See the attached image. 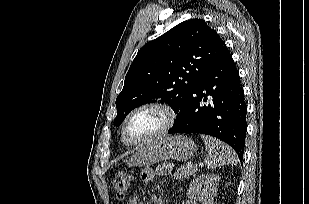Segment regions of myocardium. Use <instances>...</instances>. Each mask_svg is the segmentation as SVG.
<instances>
[{
  "label": "myocardium",
  "instance_id": "1",
  "mask_svg": "<svg viewBox=\"0 0 309 204\" xmlns=\"http://www.w3.org/2000/svg\"><path fill=\"white\" fill-rule=\"evenodd\" d=\"M148 109L158 110L164 115V123H163L162 127L158 131L153 133L151 136H149V137H147L143 140L131 141L126 135V126H127L128 121L135 114L139 113L140 111L148 110ZM175 121H176V113H175L174 109L171 106H169L168 104L162 103V102L143 103V104L137 106L136 108H134L133 110H131L127 114V116L125 117V119L122 123V126H121V137H122V140L124 141V143L129 145V146H142V145H145V144L165 135L167 132H169L171 130V128L174 126Z\"/></svg>",
  "mask_w": 309,
  "mask_h": 204
}]
</instances>
